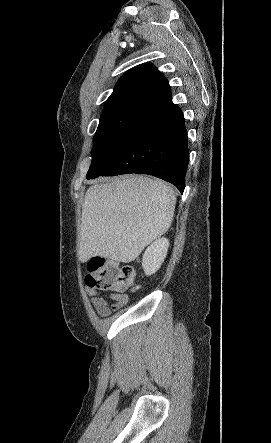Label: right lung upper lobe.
<instances>
[{"label": "right lung upper lobe", "mask_w": 271, "mask_h": 443, "mask_svg": "<svg viewBox=\"0 0 271 443\" xmlns=\"http://www.w3.org/2000/svg\"><path fill=\"white\" fill-rule=\"evenodd\" d=\"M171 99L167 79L152 64H140L118 80L105 105L123 101H142L153 105Z\"/></svg>", "instance_id": "1"}]
</instances>
